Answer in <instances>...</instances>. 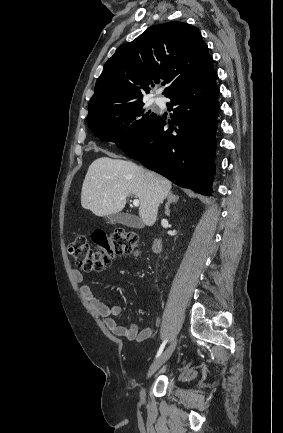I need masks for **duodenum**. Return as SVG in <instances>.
Wrapping results in <instances>:
<instances>
[{
	"label": "duodenum",
	"mask_w": 283,
	"mask_h": 433,
	"mask_svg": "<svg viewBox=\"0 0 283 433\" xmlns=\"http://www.w3.org/2000/svg\"><path fill=\"white\" fill-rule=\"evenodd\" d=\"M152 250L155 253H160L162 250V242L159 239H154L152 243Z\"/></svg>",
	"instance_id": "duodenum-1"
}]
</instances>
